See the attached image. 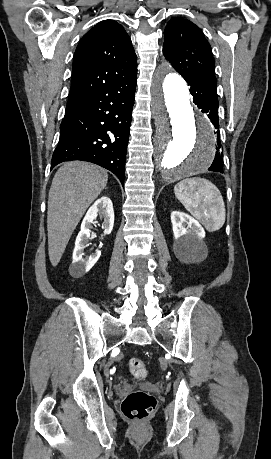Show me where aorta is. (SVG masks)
I'll list each match as a JSON object with an SVG mask.
<instances>
[{"label":"aorta","mask_w":271,"mask_h":459,"mask_svg":"<svg viewBox=\"0 0 271 459\" xmlns=\"http://www.w3.org/2000/svg\"><path fill=\"white\" fill-rule=\"evenodd\" d=\"M151 96L156 124L153 157L162 177L175 181L207 170L216 153L214 130L193 110L185 80L167 62L154 74Z\"/></svg>","instance_id":"1"}]
</instances>
